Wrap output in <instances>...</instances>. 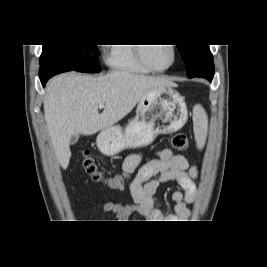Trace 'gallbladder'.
<instances>
[{
	"instance_id": "obj_1",
	"label": "gallbladder",
	"mask_w": 267,
	"mask_h": 267,
	"mask_svg": "<svg viewBox=\"0 0 267 267\" xmlns=\"http://www.w3.org/2000/svg\"><path fill=\"white\" fill-rule=\"evenodd\" d=\"M78 141V135H73L70 138V144L74 145Z\"/></svg>"
}]
</instances>
